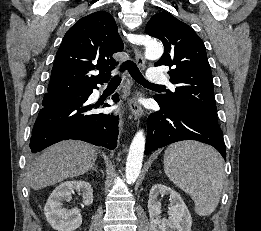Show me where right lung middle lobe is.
I'll list each match as a JSON object with an SVG mask.
<instances>
[{
  "label": "right lung middle lobe",
  "mask_w": 261,
  "mask_h": 231,
  "mask_svg": "<svg viewBox=\"0 0 261 231\" xmlns=\"http://www.w3.org/2000/svg\"><path fill=\"white\" fill-rule=\"evenodd\" d=\"M84 93H76V94H45L44 99L42 101L43 107L51 106L54 104H58L61 102L69 101L76 99L78 97H82Z\"/></svg>",
  "instance_id": "dd1d6c3e"
}]
</instances>
